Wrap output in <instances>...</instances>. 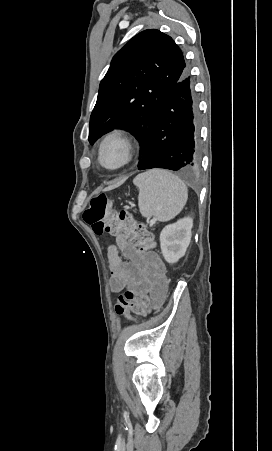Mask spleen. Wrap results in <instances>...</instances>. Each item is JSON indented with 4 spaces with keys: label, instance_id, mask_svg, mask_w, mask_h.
<instances>
[{
    "label": "spleen",
    "instance_id": "obj_1",
    "mask_svg": "<svg viewBox=\"0 0 272 451\" xmlns=\"http://www.w3.org/2000/svg\"><path fill=\"white\" fill-rule=\"evenodd\" d=\"M133 184L139 188L138 206L144 218L156 216L159 222H169L188 200L187 186L167 170L155 168L138 174Z\"/></svg>",
    "mask_w": 272,
    "mask_h": 451
}]
</instances>
